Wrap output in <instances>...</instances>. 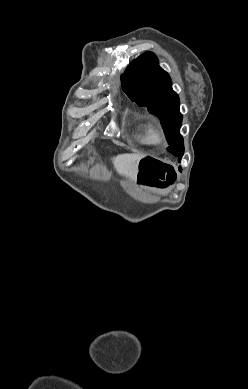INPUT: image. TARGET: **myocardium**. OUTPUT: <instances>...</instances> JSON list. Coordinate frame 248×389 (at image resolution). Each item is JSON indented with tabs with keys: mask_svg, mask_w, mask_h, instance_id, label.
<instances>
[{
	"mask_svg": "<svg viewBox=\"0 0 248 389\" xmlns=\"http://www.w3.org/2000/svg\"><path fill=\"white\" fill-rule=\"evenodd\" d=\"M164 140V137L161 133H157L156 135V143H162Z\"/></svg>",
	"mask_w": 248,
	"mask_h": 389,
	"instance_id": "myocardium-1",
	"label": "myocardium"
}]
</instances>
